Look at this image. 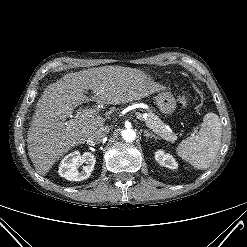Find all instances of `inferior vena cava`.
<instances>
[{
    "label": "inferior vena cava",
    "instance_id": "obj_1",
    "mask_svg": "<svg viewBox=\"0 0 247 247\" xmlns=\"http://www.w3.org/2000/svg\"><path fill=\"white\" fill-rule=\"evenodd\" d=\"M106 134L107 129L102 126L89 135L87 142L90 144H98L105 138Z\"/></svg>",
    "mask_w": 247,
    "mask_h": 247
}]
</instances>
